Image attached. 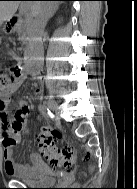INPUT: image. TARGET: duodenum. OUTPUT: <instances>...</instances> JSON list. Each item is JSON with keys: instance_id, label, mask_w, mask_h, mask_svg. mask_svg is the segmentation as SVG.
I'll return each mask as SVG.
<instances>
[{"instance_id": "duodenum-1", "label": "duodenum", "mask_w": 137, "mask_h": 189, "mask_svg": "<svg viewBox=\"0 0 137 189\" xmlns=\"http://www.w3.org/2000/svg\"><path fill=\"white\" fill-rule=\"evenodd\" d=\"M22 22L20 18H11L7 21V25H6V32L7 33H14L18 30V28L21 26ZM29 51V56L26 58L25 61V67L27 69V71L36 76L37 75V69L34 65V52L32 50H28Z\"/></svg>"}]
</instances>
